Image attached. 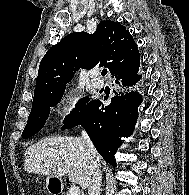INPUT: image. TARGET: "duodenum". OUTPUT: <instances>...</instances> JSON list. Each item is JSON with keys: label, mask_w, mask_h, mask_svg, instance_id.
Wrapping results in <instances>:
<instances>
[{"label": "duodenum", "mask_w": 189, "mask_h": 195, "mask_svg": "<svg viewBox=\"0 0 189 195\" xmlns=\"http://www.w3.org/2000/svg\"><path fill=\"white\" fill-rule=\"evenodd\" d=\"M51 192L54 194V195H60L61 193V187L59 185L58 182H53L52 185H51Z\"/></svg>", "instance_id": "obj_1"}]
</instances>
